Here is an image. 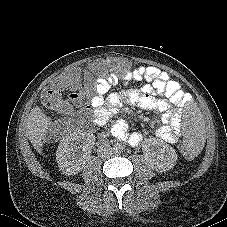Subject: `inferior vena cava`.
<instances>
[{"label": "inferior vena cava", "instance_id": "1", "mask_svg": "<svg viewBox=\"0 0 227 227\" xmlns=\"http://www.w3.org/2000/svg\"><path fill=\"white\" fill-rule=\"evenodd\" d=\"M113 149L109 144H103L98 148V156L101 158H108L112 155Z\"/></svg>", "mask_w": 227, "mask_h": 227}]
</instances>
